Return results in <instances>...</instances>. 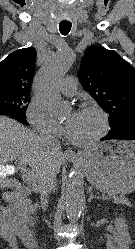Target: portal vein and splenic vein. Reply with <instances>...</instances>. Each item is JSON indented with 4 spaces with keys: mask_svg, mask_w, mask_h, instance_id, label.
Returning a JSON list of instances; mask_svg holds the SVG:
<instances>
[{
    "mask_svg": "<svg viewBox=\"0 0 135 249\" xmlns=\"http://www.w3.org/2000/svg\"><path fill=\"white\" fill-rule=\"evenodd\" d=\"M18 167L22 173L23 178L30 182L32 179L31 172L27 169V163L20 161L18 162ZM15 168L14 166L7 165V166H0V175L6 176V174H12L14 172ZM103 199H108L107 196H103Z\"/></svg>",
    "mask_w": 135,
    "mask_h": 249,
    "instance_id": "1",
    "label": "portal vein and splenic vein"
}]
</instances>
